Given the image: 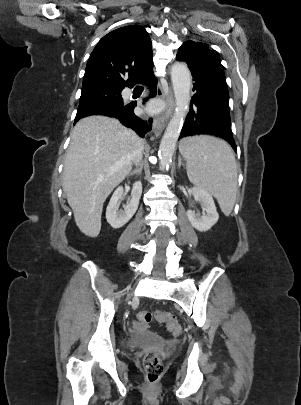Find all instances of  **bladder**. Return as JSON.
I'll return each instance as SVG.
<instances>
[{
    "label": "bladder",
    "instance_id": "31cf9c89",
    "mask_svg": "<svg viewBox=\"0 0 301 405\" xmlns=\"http://www.w3.org/2000/svg\"><path fill=\"white\" fill-rule=\"evenodd\" d=\"M128 348H143L148 346H161L162 340L150 331H135L125 341Z\"/></svg>",
    "mask_w": 301,
    "mask_h": 405
}]
</instances>
